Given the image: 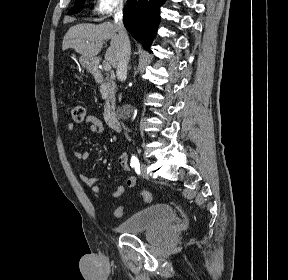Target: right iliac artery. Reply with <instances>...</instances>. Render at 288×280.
I'll use <instances>...</instances> for the list:
<instances>
[{
  "label": "right iliac artery",
  "instance_id": "right-iliac-artery-1",
  "mask_svg": "<svg viewBox=\"0 0 288 280\" xmlns=\"http://www.w3.org/2000/svg\"><path fill=\"white\" fill-rule=\"evenodd\" d=\"M135 164H139V160H138L137 157L132 156L130 165H131L132 168H135Z\"/></svg>",
  "mask_w": 288,
  "mask_h": 280
}]
</instances>
